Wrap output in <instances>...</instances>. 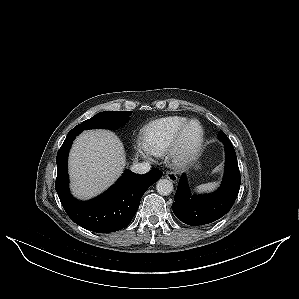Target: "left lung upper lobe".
<instances>
[{"label":"left lung upper lobe","instance_id":"obj_1","mask_svg":"<svg viewBox=\"0 0 299 299\" xmlns=\"http://www.w3.org/2000/svg\"><path fill=\"white\" fill-rule=\"evenodd\" d=\"M218 137H219L220 140H222L224 138H226V139L228 138L223 131L219 132Z\"/></svg>","mask_w":299,"mask_h":299}]
</instances>
